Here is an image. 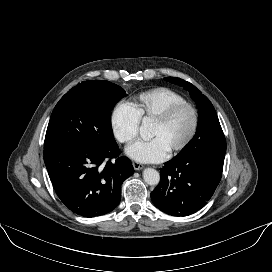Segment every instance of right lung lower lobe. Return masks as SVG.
I'll list each match as a JSON object with an SVG mask.
<instances>
[{"label":"right lung lower lobe","mask_w":272,"mask_h":272,"mask_svg":"<svg viewBox=\"0 0 272 272\" xmlns=\"http://www.w3.org/2000/svg\"><path fill=\"white\" fill-rule=\"evenodd\" d=\"M118 155L115 141L102 147L71 143L45 154L44 161L65 206L78 215L95 217L116 208L122 182L134 173L131 161Z\"/></svg>","instance_id":"right-lung-lower-lobe-1"}]
</instances>
